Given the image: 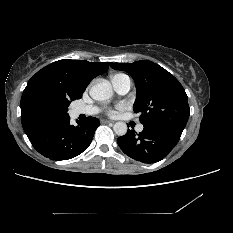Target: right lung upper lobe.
I'll return each instance as SVG.
<instances>
[{
  "mask_svg": "<svg viewBox=\"0 0 233 233\" xmlns=\"http://www.w3.org/2000/svg\"><path fill=\"white\" fill-rule=\"evenodd\" d=\"M109 64L62 59L32 76L20 103L22 126L28 138L69 118L62 104L81 98L90 81L104 73Z\"/></svg>",
  "mask_w": 233,
  "mask_h": 233,
  "instance_id": "obj_1",
  "label": "right lung upper lobe"
}]
</instances>
